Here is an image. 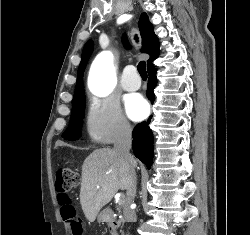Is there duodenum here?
<instances>
[{"mask_svg":"<svg viewBox=\"0 0 250 235\" xmlns=\"http://www.w3.org/2000/svg\"><path fill=\"white\" fill-rule=\"evenodd\" d=\"M108 227L111 235H117L118 232V220L114 217H110L108 220Z\"/></svg>","mask_w":250,"mask_h":235,"instance_id":"duodenum-1","label":"duodenum"}]
</instances>
